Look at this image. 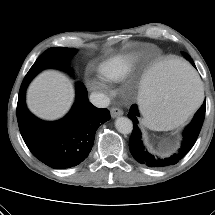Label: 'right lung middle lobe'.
<instances>
[{
    "instance_id": "1",
    "label": "right lung middle lobe",
    "mask_w": 215,
    "mask_h": 215,
    "mask_svg": "<svg viewBox=\"0 0 215 215\" xmlns=\"http://www.w3.org/2000/svg\"><path fill=\"white\" fill-rule=\"evenodd\" d=\"M76 52L72 48H50L35 61L25 78L32 80L41 70L46 68L66 69L67 59Z\"/></svg>"
}]
</instances>
